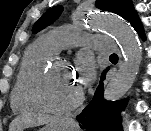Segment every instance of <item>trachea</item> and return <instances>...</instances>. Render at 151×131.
Masks as SVG:
<instances>
[{
  "mask_svg": "<svg viewBox=\"0 0 151 131\" xmlns=\"http://www.w3.org/2000/svg\"><path fill=\"white\" fill-rule=\"evenodd\" d=\"M110 57L111 58H118L117 54H111Z\"/></svg>",
  "mask_w": 151,
  "mask_h": 131,
  "instance_id": "3493384b",
  "label": "trachea"
}]
</instances>
